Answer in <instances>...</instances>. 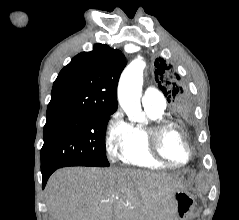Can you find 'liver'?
<instances>
[{"instance_id":"liver-1","label":"liver","mask_w":239,"mask_h":220,"mask_svg":"<svg viewBox=\"0 0 239 220\" xmlns=\"http://www.w3.org/2000/svg\"><path fill=\"white\" fill-rule=\"evenodd\" d=\"M180 179L137 169L70 167L46 185L51 220H166Z\"/></svg>"}]
</instances>
